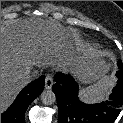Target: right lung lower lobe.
<instances>
[{"label":"right lung lower lobe","mask_w":123,"mask_h":123,"mask_svg":"<svg viewBox=\"0 0 123 123\" xmlns=\"http://www.w3.org/2000/svg\"><path fill=\"white\" fill-rule=\"evenodd\" d=\"M45 76L31 82L17 96L10 108L1 115V123H25V111L44 88Z\"/></svg>","instance_id":"obj_1"}]
</instances>
